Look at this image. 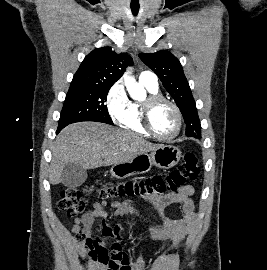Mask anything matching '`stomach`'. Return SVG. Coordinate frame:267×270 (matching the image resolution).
<instances>
[{"mask_svg":"<svg viewBox=\"0 0 267 270\" xmlns=\"http://www.w3.org/2000/svg\"><path fill=\"white\" fill-rule=\"evenodd\" d=\"M181 158V151L172 145H160L150 153H142L134 159L115 164L110 169L114 178L125 179L135 174L145 173L156 166L162 169H169L175 166Z\"/></svg>","mask_w":267,"mask_h":270,"instance_id":"1","label":"stomach"}]
</instances>
